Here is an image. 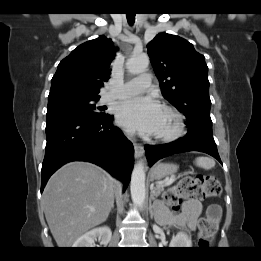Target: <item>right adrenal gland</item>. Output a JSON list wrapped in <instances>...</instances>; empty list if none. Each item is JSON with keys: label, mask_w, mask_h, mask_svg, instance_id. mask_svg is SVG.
<instances>
[{"label": "right adrenal gland", "mask_w": 261, "mask_h": 261, "mask_svg": "<svg viewBox=\"0 0 261 261\" xmlns=\"http://www.w3.org/2000/svg\"><path fill=\"white\" fill-rule=\"evenodd\" d=\"M114 208V205L112 206V209ZM111 212H112V210H111Z\"/></svg>", "instance_id": "2a0ac1e0"}]
</instances>
